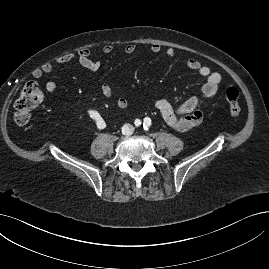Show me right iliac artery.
I'll list each match as a JSON object with an SVG mask.
<instances>
[{
  "instance_id": "82829eb1",
  "label": "right iliac artery",
  "mask_w": 269,
  "mask_h": 269,
  "mask_svg": "<svg viewBox=\"0 0 269 269\" xmlns=\"http://www.w3.org/2000/svg\"><path fill=\"white\" fill-rule=\"evenodd\" d=\"M134 123H135L136 126H140L141 125V121L139 119H136Z\"/></svg>"
}]
</instances>
